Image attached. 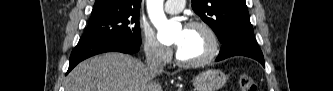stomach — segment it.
<instances>
[{"mask_svg":"<svg viewBox=\"0 0 333 91\" xmlns=\"http://www.w3.org/2000/svg\"><path fill=\"white\" fill-rule=\"evenodd\" d=\"M226 81V75L222 71L210 69L200 73L194 79L195 91H218Z\"/></svg>","mask_w":333,"mask_h":91,"instance_id":"stomach-1","label":"stomach"}]
</instances>
